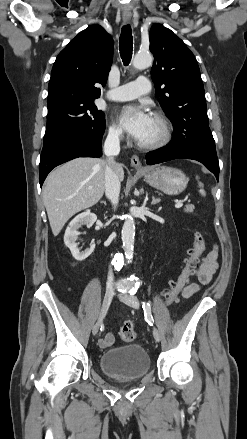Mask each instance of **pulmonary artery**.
Instances as JSON below:
<instances>
[{"mask_svg": "<svg viewBox=\"0 0 247 439\" xmlns=\"http://www.w3.org/2000/svg\"><path fill=\"white\" fill-rule=\"evenodd\" d=\"M151 84L148 78L139 77L137 80L110 90L107 97L114 101H127L138 98L150 92Z\"/></svg>", "mask_w": 247, "mask_h": 439, "instance_id": "1", "label": "pulmonary artery"}]
</instances>
